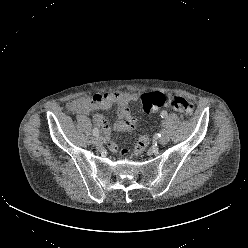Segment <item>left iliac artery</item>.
I'll return each mask as SVG.
<instances>
[{
    "instance_id": "44dca946",
    "label": "left iliac artery",
    "mask_w": 248,
    "mask_h": 248,
    "mask_svg": "<svg viewBox=\"0 0 248 248\" xmlns=\"http://www.w3.org/2000/svg\"><path fill=\"white\" fill-rule=\"evenodd\" d=\"M167 111H162L161 113H160V116L162 117V118H165L166 116H167ZM163 133H164V130H162V131H160V133L158 134L160 137L163 135Z\"/></svg>"
}]
</instances>
